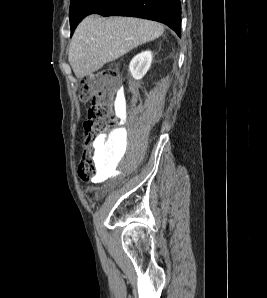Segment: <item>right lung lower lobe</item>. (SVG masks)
Wrapping results in <instances>:
<instances>
[{
    "mask_svg": "<svg viewBox=\"0 0 267 298\" xmlns=\"http://www.w3.org/2000/svg\"><path fill=\"white\" fill-rule=\"evenodd\" d=\"M93 13L155 20L166 24L181 36L180 0H100L90 12Z\"/></svg>",
    "mask_w": 267,
    "mask_h": 298,
    "instance_id": "98d812e1",
    "label": "right lung lower lobe"
}]
</instances>
